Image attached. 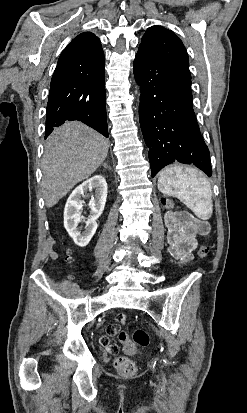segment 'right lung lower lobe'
<instances>
[{
  "instance_id": "98d812e1",
  "label": "right lung lower lobe",
  "mask_w": 247,
  "mask_h": 413,
  "mask_svg": "<svg viewBox=\"0 0 247 413\" xmlns=\"http://www.w3.org/2000/svg\"><path fill=\"white\" fill-rule=\"evenodd\" d=\"M67 120L82 121L108 137L104 65L80 72L55 70L47 104L45 138Z\"/></svg>"
}]
</instances>
